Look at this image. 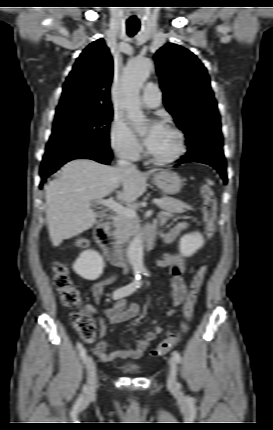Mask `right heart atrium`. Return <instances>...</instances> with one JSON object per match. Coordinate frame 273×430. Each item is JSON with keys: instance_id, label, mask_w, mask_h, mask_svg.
<instances>
[{"instance_id": "right-heart-atrium-1", "label": "right heart atrium", "mask_w": 273, "mask_h": 430, "mask_svg": "<svg viewBox=\"0 0 273 430\" xmlns=\"http://www.w3.org/2000/svg\"><path fill=\"white\" fill-rule=\"evenodd\" d=\"M110 143L115 154L123 159L135 160L142 152V147L131 130L119 120L111 125Z\"/></svg>"}]
</instances>
